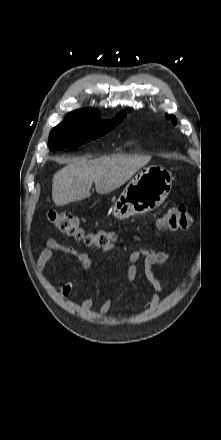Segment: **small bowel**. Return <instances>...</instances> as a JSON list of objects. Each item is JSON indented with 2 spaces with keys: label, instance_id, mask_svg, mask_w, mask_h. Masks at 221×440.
Returning <instances> with one entry per match:
<instances>
[{
  "label": "small bowel",
  "instance_id": "obj_1",
  "mask_svg": "<svg viewBox=\"0 0 221 440\" xmlns=\"http://www.w3.org/2000/svg\"><path fill=\"white\" fill-rule=\"evenodd\" d=\"M134 239L136 241H139L138 236H134ZM114 248H120L127 253L128 265L126 269V276L129 281H133L135 279L138 274V263L141 259L143 260V275L147 280L149 286L151 287V296L149 300L145 303V306H155L159 302L161 295L164 294V289L160 280L154 274L153 267L165 264L169 259V253L144 248L129 251L128 248L124 245L108 246L102 249V251H109ZM55 251H62L73 255L78 261L80 268L83 270H88L92 267L93 257L89 253L80 251L72 246L61 244L54 239H49L46 242V247L39 253L37 258L36 268L39 272L44 270L47 263L52 259ZM73 289V282L65 283L60 289V296H69L72 293ZM92 305V298H88L80 304V308L83 311H87L92 307ZM112 305L113 298H108L99 308V313L101 315L106 314L110 310Z\"/></svg>",
  "mask_w": 221,
  "mask_h": 440
}]
</instances>
